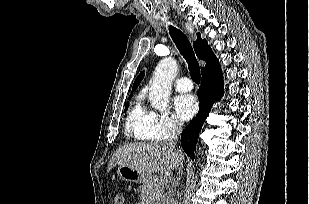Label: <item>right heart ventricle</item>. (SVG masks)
Masks as SVG:
<instances>
[{"label":"right heart ventricle","instance_id":"1","mask_svg":"<svg viewBox=\"0 0 309 204\" xmlns=\"http://www.w3.org/2000/svg\"><path fill=\"white\" fill-rule=\"evenodd\" d=\"M150 123L151 112L142 106L140 99H137L128 113L125 125L126 135L135 140H150Z\"/></svg>","mask_w":309,"mask_h":204}]
</instances>
